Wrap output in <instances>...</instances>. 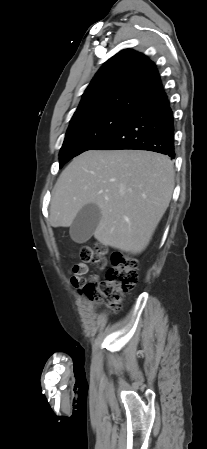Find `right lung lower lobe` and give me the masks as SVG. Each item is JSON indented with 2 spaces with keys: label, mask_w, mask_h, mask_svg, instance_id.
Segmentation results:
<instances>
[{
  "label": "right lung lower lobe",
  "mask_w": 207,
  "mask_h": 449,
  "mask_svg": "<svg viewBox=\"0 0 207 449\" xmlns=\"http://www.w3.org/2000/svg\"><path fill=\"white\" fill-rule=\"evenodd\" d=\"M92 149L148 150L175 158L174 117L167 95L135 111L122 127Z\"/></svg>",
  "instance_id": "1"
}]
</instances>
